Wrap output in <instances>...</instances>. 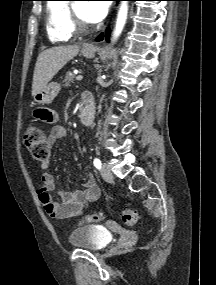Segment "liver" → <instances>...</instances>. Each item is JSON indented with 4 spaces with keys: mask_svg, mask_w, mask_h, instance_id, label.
I'll return each mask as SVG.
<instances>
[{
    "mask_svg": "<svg viewBox=\"0 0 216 285\" xmlns=\"http://www.w3.org/2000/svg\"><path fill=\"white\" fill-rule=\"evenodd\" d=\"M78 45L57 46L38 55L32 82V95L40 92L58 71L79 52Z\"/></svg>",
    "mask_w": 216,
    "mask_h": 285,
    "instance_id": "obj_1",
    "label": "liver"
}]
</instances>
